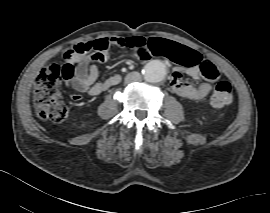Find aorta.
I'll return each mask as SVG.
<instances>
[{
  "label": "aorta",
  "mask_w": 270,
  "mask_h": 213,
  "mask_svg": "<svg viewBox=\"0 0 270 213\" xmlns=\"http://www.w3.org/2000/svg\"><path fill=\"white\" fill-rule=\"evenodd\" d=\"M168 69L164 62L153 60L148 62L143 69L144 78L148 82L158 83L165 79Z\"/></svg>",
  "instance_id": "1"
}]
</instances>
